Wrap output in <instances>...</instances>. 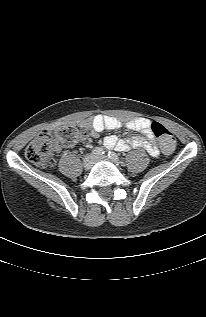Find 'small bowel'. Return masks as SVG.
<instances>
[{
	"label": "small bowel",
	"mask_w": 206,
	"mask_h": 317,
	"mask_svg": "<svg viewBox=\"0 0 206 317\" xmlns=\"http://www.w3.org/2000/svg\"><path fill=\"white\" fill-rule=\"evenodd\" d=\"M72 126L79 129H88L92 137H97L99 133L104 130H116L125 127L140 132L142 136H135L130 139H119L115 135H109L104 139V144L107 148H114L122 152L142 148L151 156H157L159 154V149L154 142L151 131V121L146 118H134L122 122L112 116L96 115L89 119L74 122ZM54 149L60 150L61 146L55 144Z\"/></svg>",
	"instance_id": "1"
}]
</instances>
